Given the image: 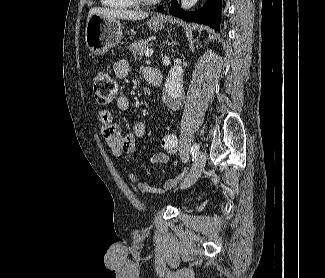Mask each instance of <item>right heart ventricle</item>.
<instances>
[{"instance_id":"e07e8e85","label":"right heart ventricle","mask_w":325,"mask_h":278,"mask_svg":"<svg viewBox=\"0 0 325 278\" xmlns=\"http://www.w3.org/2000/svg\"><path fill=\"white\" fill-rule=\"evenodd\" d=\"M100 2L111 9H129L134 6L131 0H100Z\"/></svg>"}]
</instances>
